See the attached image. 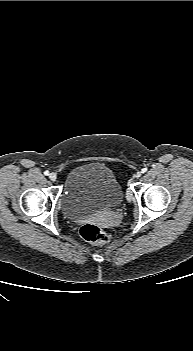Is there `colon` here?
I'll return each instance as SVG.
<instances>
[{
	"mask_svg": "<svg viewBox=\"0 0 193 351\" xmlns=\"http://www.w3.org/2000/svg\"><path fill=\"white\" fill-rule=\"evenodd\" d=\"M80 234L83 239L93 244H105L107 236L101 227L95 223H86L80 229Z\"/></svg>",
	"mask_w": 193,
	"mask_h": 351,
	"instance_id": "obj_1",
	"label": "colon"
}]
</instances>
